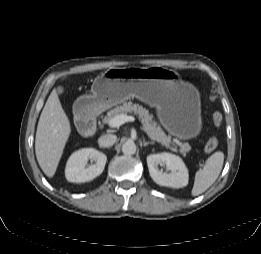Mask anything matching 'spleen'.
Wrapping results in <instances>:
<instances>
[{
  "mask_svg": "<svg viewBox=\"0 0 261 254\" xmlns=\"http://www.w3.org/2000/svg\"><path fill=\"white\" fill-rule=\"evenodd\" d=\"M224 162L223 152H215L204 164L202 169H199L195 174L192 195L198 196L205 192L218 178Z\"/></svg>",
  "mask_w": 261,
  "mask_h": 254,
  "instance_id": "obj_1",
  "label": "spleen"
}]
</instances>
